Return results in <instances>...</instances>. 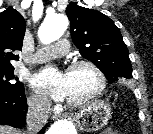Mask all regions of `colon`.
<instances>
[{"instance_id":"obj_1","label":"colon","mask_w":153,"mask_h":134,"mask_svg":"<svg viewBox=\"0 0 153 134\" xmlns=\"http://www.w3.org/2000/svg\"><path fill=\"white\" fill-rule=\"evenodd\" d=\"M102 134H115L112 130H106L105 132H103Z\"/></svg>"}]
</instances>
